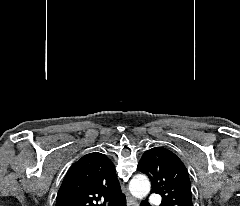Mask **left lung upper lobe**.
Segmentation results:
<instances>
[{"label": "left lung upper lobe", "mask_w": 240, "mask_h": 206, "mask_svg": "<svg viewBox=\"0 0 240 206\" xmlns=\"http://www.w3.org/2000/svg\"><path fill=\"white\" fill-rule=\"evenodd\" d=\"M137 169L151 180V192L162 196L160 206H193L189 175L172 151L154 147L146 151Z\"/></svg>", "instance_id": "obj_1"}]
</instances>
